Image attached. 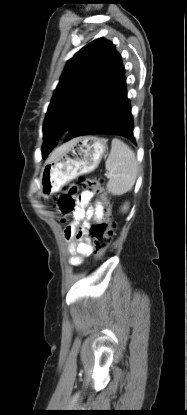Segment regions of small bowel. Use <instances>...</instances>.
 <instances>
[{"label":"small bowel","instance_id":"obj_1","mask_svg":"<svg viewBox=\"0 0 187 415\" xmlns=\"http://www.w3.org/2000/svg\"><path fill=\"white\" fill-rule=\"evenodd\" d=\"M92 198L93 194L90 191H83L79 194L77 197V208L74 212L75 221L64 230V236L69 242V251L72 254L69 260L72 266H79L83 259L92 252V247L87 240L85 226L80 231H77V223L80 220L99 221L104 216L103 204L97 201L93 206L90 205Z\"/></svg>","mask_w":187,"mask_h":415}]
</instances>
